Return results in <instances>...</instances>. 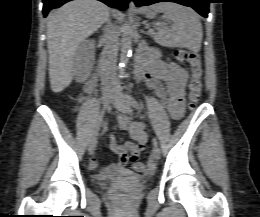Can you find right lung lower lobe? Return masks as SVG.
Here are the masks:
<instances>
[{
	"mask_svg": "<svg viewBox=\"0 0 260 217\" xmlns=\"http://www.w3.org/2000/svg\"><path fill=\"white\" fill-rule=\"evenodd\" d=\"M71 0H43V14L44 17L47 16L48 12L53 8H58L64 3ZM103 3L107 4L112 8H117L119 10H125L127 8V4L131 0H99Z\"/></svg>",
	"mask_w": 260,
	"mask_h": 217,
	"instance_id": "right-lung-lower-lobe-1",
	"label": "right lung lower lobe"
}]
</instances>
